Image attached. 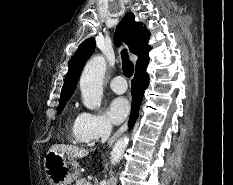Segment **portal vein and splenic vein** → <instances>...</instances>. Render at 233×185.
<instances>
[{
    "label": "portal vein and splenic vein",
    "instance_id": "portal-vein-and-splenic-vein-1",
    "mask_svg": "<svg viewBox=\"0 0 233 185\" xmlns=\"http://www.w3.org/2000/svg\"><path fill=\"white\" fill-rule=\"evenodd\" d=\"M87 185H92V184H90V183L88 182Z\"/></svg>",
    "mask_w": 233,
    "mask_h": 185
}]
</instances>
